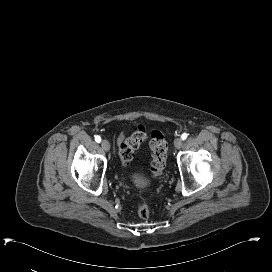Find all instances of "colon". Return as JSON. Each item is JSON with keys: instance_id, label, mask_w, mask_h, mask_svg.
<instances>
[{"instance_id": "obj_1", "label": "colon", "mask_w": 272, "mask_h": 272, "mask_svg": "<svg viewBox=\"0 0 272 272\" xmlns=\"http://www.w3.org/2000/svg\"><path fill=\"white\" fill-rule=\"evenodd\" d=\"M148 138H150V147L152 151L150 174L151 177H158L165 169L168 147L165 136L160 130H153L149 134L144 126H139L132 136L120 143L119 152L121 160L123 165H130L134 159L135 151ZM136 213L140 218H148L151 213L150 204L144 200L139 201L136 204Z\"/></svg>"}]
</instances>
